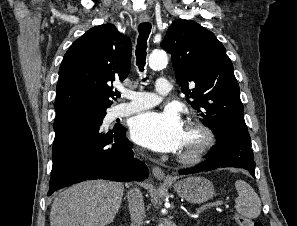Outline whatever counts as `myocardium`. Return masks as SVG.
Here are the masks:
<instances>
[{"label": "myocardium", "mask_w": 297, "mask_h": 226, "mask_svg": "<svg viewBox=\"0 0 297 226\" xmlns=\"http://www.w3.org/2000/svg\"><path fill=\"white\" fill-rule=\"evenodd\" d=\"M186 128L198 135V141L193 148L181 151L177 159L180 163L193 165L202 161L212 149L215 144V134L206 123L198 119L191 120Z\"/></svg>", "instance_id": "1"}]
</instances>
